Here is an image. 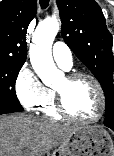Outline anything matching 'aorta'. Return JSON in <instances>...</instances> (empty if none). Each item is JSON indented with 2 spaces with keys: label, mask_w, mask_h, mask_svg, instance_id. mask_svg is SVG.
Wrapping results in <instances>:
<instances>
[{
  "label": "aorta",
  "mask_w": 114,
  "mask_h": 156,
  "mask_svg": "<svg viewBox=\"0 0 114 156\" xmlns=\"http://www.w3.org/2000/svg\"><path fill=\"white\" fill-rule=\"evenodd\" d=\"M59 21L53 17L43 21L35 30L30 46V61L36 74L46 85H52L62 74L52 58V44L59 31Z\"/></svg>",
  "instance_id": "1"
}]
</instances>
